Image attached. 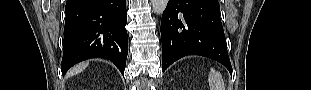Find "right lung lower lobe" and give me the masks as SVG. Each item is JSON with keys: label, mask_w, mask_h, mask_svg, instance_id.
<instances>
[{"label": "right lung lower lobe", "mask_w": 311, "mask_h": 90, "mask_svg": "<svg viewBox=\"0 0 311 90\" xmlns=\"http://www.w3.org/2000/svg\"><path fill=\"white\" fill-rule=\"evenodd\" d=\"M62 74L89 58H107L124 74L128 54L126 0H67Z\"/></svg>", "instance_id": "1"}]
</instances>
